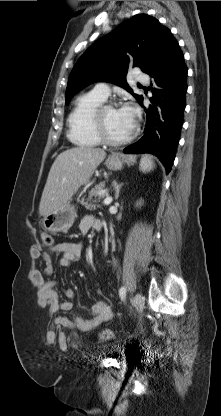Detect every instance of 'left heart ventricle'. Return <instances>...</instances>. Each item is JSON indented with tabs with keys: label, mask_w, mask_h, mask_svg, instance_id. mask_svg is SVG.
<instances>
[{
	"label": "left heart ventricle",
	"mask_w": 221,
	"mask_h": 416,
	"mask_svg": "<svg viewBox=\"0 0 221 416\" xmlns=\"http://www.w3.org/2000/svg\"><path fill=\"white\" fill-rule=\"evenodd\" d=\"M104 122L109 136L115 140H122L128 137L133 130L120 109L117 108L105 111Z\"/></svg>",
	"instance_id": "left-heart-ventricle-1"
}]
</instances>
